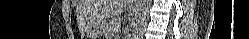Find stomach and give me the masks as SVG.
I'll return each instance as SVG.
<instances>
[{
    "label": "stomach",
    "mask_w": 249,
    "mask_h": 39,
    "mask_svg": "<svg viewBox=\"0 0 249 39\" xmlns=\"http://www.w3.org/2000/svg\"><path fill=\"white\" fill-rule=\"evenodd\" d=\"M103 27H104L103 20L90 23L88 25L87 35L91 39H98V37H100V35L102 34Z\"/></svg>",
    "instance_id": "obj_1"
}]
</instances>
